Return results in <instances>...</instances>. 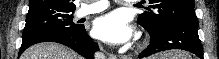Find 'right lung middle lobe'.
<instances>
[{
	"label": "right lung middle lobe",
	"instance_id": "obj_1",
	"mask_svg": "<svg viewBox=\"0 0 219 59\" xmlns=\"http://www.w3.org/2000/svg\"><path fill=\"white\" fill-rule=\"evenodd\" d=\"M73 12L61 10H37L27 14L22 39L38 34L66 31L79 32L84 26L73 22Z\"/></svg>",
	"mask_w": 219,
	"mask_h": 59
}]
</instances>
